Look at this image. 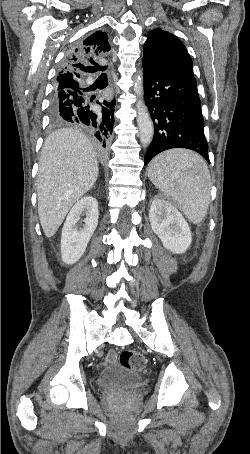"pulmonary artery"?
<instances>
[{"instance_id":"e3ab8cb5","label":"pulmonary artery","mask_w":250,"mask_h":454,"mask_svg":"<svg viewBox=\"0 0 250 454\" xmlns=\"http://www.w3.org/2000/svg\"><path fill=\"white\" fill-rule=\"evenodd\" d=\"M87 84H92L93 83V79L92 78H88L87 81H86Z\"/></svg>"}]
</instances>
